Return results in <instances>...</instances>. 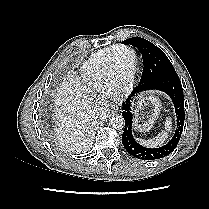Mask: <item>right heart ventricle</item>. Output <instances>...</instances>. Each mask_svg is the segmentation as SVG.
Returning <instances> with one entry per match:
<instances>
[{
    "mask_svg": "<svg viewBox=\"0 0 209 209\" xmlns=\"http://www.w3.org/2000/svg\"><path fill=\"white\" fill-rule=\"evenodd\" d=\"M119 45L103 48L93 54L81 69L84 86L94 92H103L106 88V75L109 61Z\"/></svg>",
    "mask_w": 209,
    "mask_h": 209,
    "instance_id": "e07e8e85",
    "label": "right heart ventricle"
}]
</instances>
